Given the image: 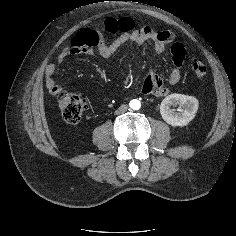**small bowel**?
Listing matches in <instances>:
<instances>
[{"label":"small bowel","mask_w":236,"mask_h":236,"mask_svg":"<svg viewBox=\"0 0 236 236\" xmlns=\"http://www.w3.org/2000/svg\"><path fill=\"white\" fill-rule=\"evenodd\" d=\"M104 29L108 33L115 34L116 37L110 42H106L103 33L98 29L85 28L80 30L63 49L57 61L62 63L69 56L87 55L98 53L103 58L112 57L123 45L132 42L138 45L151 42L156 53H164L166 47L170 46L173 69L168 77V84H177L182 76L181 69L187 57L185 45L176 40L171 31H155L149 26L134 28V23L130 18L116 20L108 18L105 20ZM56 65L51 63L45 68V86L48 92L56 96L63 89L54 80ZM141 92L146 95L165 96L169 89L165 81L154 73H149L141 84Z\"/></svg>","instance_id":"c3829d8e"}]
</instances>
